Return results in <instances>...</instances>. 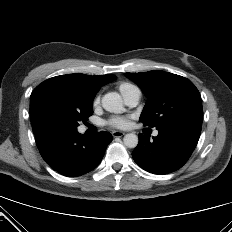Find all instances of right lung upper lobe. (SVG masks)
<instances>
[{
  "instance_id": "cb5924a9",
  "label": "right lung upper lobe",
  "mask_w": 232,
  "mask_h": 232,
  "mask_svg": "<svg viewBox=\"0 0 232 232\" xmlns=\"http://www.w3.org/2000/svg\"><path fill=\"white\" fill-rule=\"evenodd\" d=\"M115 78H116L115 75L90 76V75L76 73V74L56 76L50 79H66V80H72L81 83L87 88V90L92 95H96V93L99 91L101 86L113 81Z\"/></svg>"
}]
</instances>
